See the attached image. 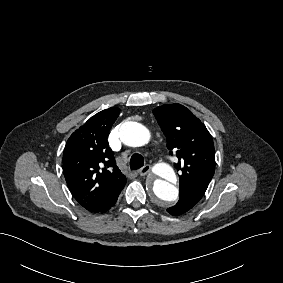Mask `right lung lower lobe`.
Instances as JSON below:
<instances>
[{
  "mask_svg": "<svg viewBox=\"0 0 283 283\" xmlns=\"http://www.w3.org/2000/svg\"><path fill=\"white\" fill-rule=\"evenodd\" d=\"M118 198V197H117ZM117 198L112 202V204H110L107 208H105L104 210L98 212V213H104L106 211H108L117 201Z\"/></svg>",
  "mask_w": 283,
  "mask_h": 283,
  "instance_id": "98d812e1",
  "label": "right lung lower lobe"
}]
</instances>
